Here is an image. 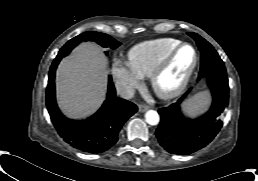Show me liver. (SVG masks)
<instances>
[{"label":"liver","mask_w":258,"mask_h":181,"mask_svg":"<svg viewBox=\"0 0 258 181\" xmlns=\"http://www.w3.org/2000/svg\"><path fill=\"white\" fill-rule=\"evenodd\" d=\"M108 61L100 47L82 43L64 58L56 72L58 105L70 118L94 113L105 98Z\"/></svg>","instance_id":"1"}]
</instances>
